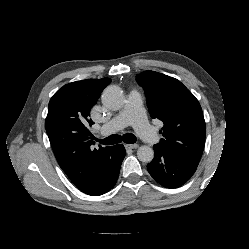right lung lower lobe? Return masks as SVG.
<instances>
[{
    "mask_svg": "<svg viewBox=\"0 0 249 249\" xmlns=\"http://www.w3.org/2000/svg\"><path fill=\"white\" fill-rule=\"evenodd\" d=\"M112 160L110 164L106 166L102 173L94 177L92 183L88 186L86 190L83 192L91 195L98 196L102 195L108 191L115 185L121 163L125 156V148L122 144L112 146Z\"/></svg>",
    "mask_w": 249,
    "mask_h": 249,
    "instance_id": "obj_1",
    "label": "right lung lower lobe"
}]
</instances>
